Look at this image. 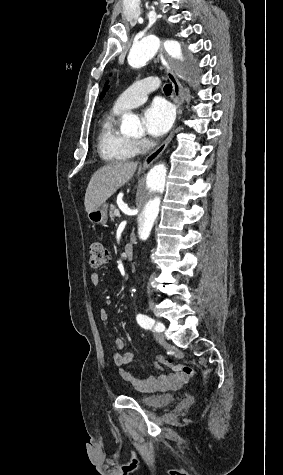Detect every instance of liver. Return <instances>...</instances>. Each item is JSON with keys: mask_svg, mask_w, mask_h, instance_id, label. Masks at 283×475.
I'll use <instances>...</instances> for the list:
<instances>
[{"mask_svg": "<svg viewBox=\"0 0 283 475\" xmlns=\"http://www.w3.org/2000/svg\"><path fill=\"white\" fill-rule=\"evenodd\" d=\"M138 162H110L93 174L85 194V210L93 212L105 204L137 170Z\"/></svg>", "mask_w": 283, "mask_h": 475, "instance_id": "6515ba94", "label": "liver"}]
</instances>
